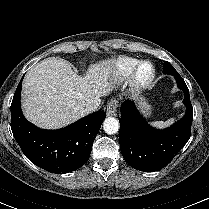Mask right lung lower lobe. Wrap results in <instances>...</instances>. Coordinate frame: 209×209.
<instances>
[{
	"label": "right lung lower lobe",
	"instance_id": "1",
	"mask_svg": "<svg viewBox=\"0 0 209 209\" xmlns=\"http://www.w3.org/2000/svg\"><path fill=\"white\" fill-rule=\"evenodd\" d=\"M23 77L11 103V129L24 155L52 173H67L80 168L89 159L106 113L95 112L58 130L37 128L25 119L21 111Z\"/></svg>",
	"mask_w": 209,
	"mask_h": 209
}]
</instances>
